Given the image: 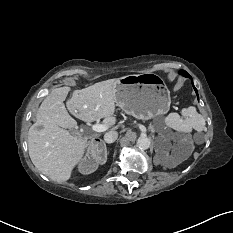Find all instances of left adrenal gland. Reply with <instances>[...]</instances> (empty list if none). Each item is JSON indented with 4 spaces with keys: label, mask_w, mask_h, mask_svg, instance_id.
Returning <instances> with one entry per match:
<instances>
[{
    "label": "left adrenal gland",
    "mask_w": 233,
    "mask_h": 233,
    "mask_svg": "<svg viewBox=\"0 0 233 233\" xmlns=\"http://www.w3.org/2000/svg\"><path fill=\"white\" fill-rule=\"evenodd\" d=\"M150 129H151V133L153 134L154 133V129L152 127H150Z\"/></svg>",
    "instance_id": "1"
}]
</instances>
